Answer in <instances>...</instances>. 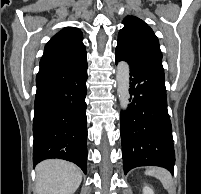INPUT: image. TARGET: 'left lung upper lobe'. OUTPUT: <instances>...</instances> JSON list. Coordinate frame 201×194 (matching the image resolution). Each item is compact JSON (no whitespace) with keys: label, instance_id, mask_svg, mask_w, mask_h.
<instances>
[{"label":"left lung upper lobe","instance_id":"5c2ea615","mask_svg":"<svg viewBox=\"0 0 201 194\" xmlns=\"http://www.w3.org/2000/svg\"><path fill=\"white\" fill-rule=\"evenodd\" d=\"M124 27L119 31L117 47L139 57L149 58L162 63L159 41L153 30L135 16L125 17Z\"/></svg>","mask_w":201,"mask_h":194}]
</instances>
